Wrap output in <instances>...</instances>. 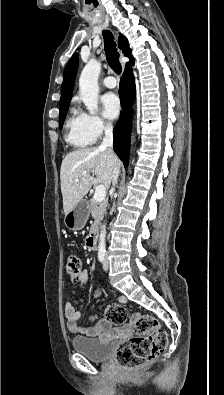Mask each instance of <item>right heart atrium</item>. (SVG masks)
<instances>
[{
  "mask_svg": "<svg viewBox=\"0 0 224 395\" xmlns=\"http://www.w3.org/2000/svg\"><path fill=\"white\" fill-rule=\"evenodd\" d=\"M80 116L86 130L94 139L101 137L111 129L110 122L100 115L81 112Z\"/></svg>",
  "mask_w": 224,
  "mask_h": 395,
  "instance_id": "1",
  "label": "right heart atrium"
}]
</instances>
